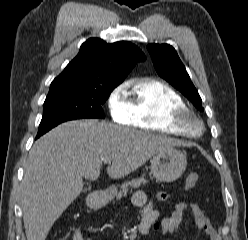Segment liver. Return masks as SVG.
I'll return each instance as SVG.
<instances>
[{
    "label": "liver",
    "instance_id": "1",
    "mask_svg": "<svg viewBox=\"0 0 248 240\" xmlns=\"http://www.w3.org/2000/svg\"><path fill=\"white\" fill-rule=\"evenodd\" d=\"M185 143L98 120L63 123L33 145L21 188L27 240H45L55 221L81 193L83 178L96 180L104 160L107 174L127 176L158 153Z\"/></svg>",
    "mask_w": 248,
    "mask_h": 240
}]
</instances>
